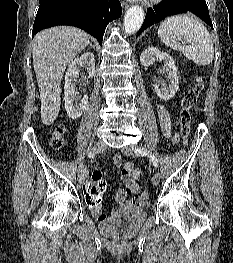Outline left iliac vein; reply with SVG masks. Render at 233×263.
<instances>
[{
    "mask_svg": "<svg viewBox=\"0 0 233 263\" xmlns=\"http://www.w3.org/2000/svg\"><path fill=\"white\" fill-rule=\"evenodd\" d=\"M134 151H135V147L133 145H129V146H125L122 149L123 154L127 155V156H132L134 155ZM160 180V174L158 171H155L153 176H152V183L154 185H158Z\"/></svg>",
    "mask_w": 233,
    "mask_h": 263,
    "instance_id": "left-iliac-vein-1",
    "label": "left iliac vein"
}]
</instances>
